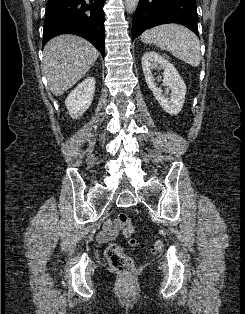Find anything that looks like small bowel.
Returning <instances> with one entry per match:
<instances>
[{"label": "small bowel", "instance_id": "1", "mask_svg": "<svg viewBox=\"0 0 245 314\" xmlns=\"http://www.w3.org/2000/svg\"><path fill=\"white\" fill-rule=\"evenodd\" d=\"M118 234V226L112 220H107L103 225V230L97 235V239L100 243L107 244L114 241Z\"/></svg>", "mask_w": 245, "mask_h": 314}]
</instances>
